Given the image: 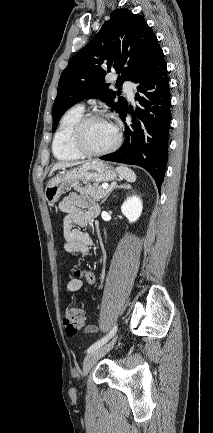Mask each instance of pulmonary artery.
Instances as JSON below:
<instances>
[{
  "label": "pulmonary artery",
  "instance_id": "1",
  "mask_svg": "<svg viewBox=\"0 0 213 433\" xmlns=\"http://www.w3.org/2000/svg\"><path fill=\"white\" fill-rule=\"evenodd\" d=\"M123 88H124V91L127 94L128 98L130 100H133V98H134V85L131 82L126 81L123 84Z\"/></svg>",
  "mask_w": 213,
  "mask_h": 433
}]
</instances>
